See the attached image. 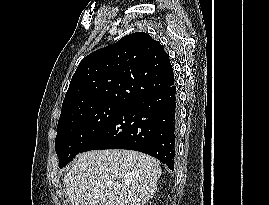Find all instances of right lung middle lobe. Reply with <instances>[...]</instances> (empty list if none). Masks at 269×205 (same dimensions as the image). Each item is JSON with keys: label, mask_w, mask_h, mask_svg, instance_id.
Returning <instances> with one entry per match:
<instances>
[{"label": "right lung middle lobe", "mask_w": 269, "mask_h": 205, "mask_svg": "<svg viewBox=\"0 0 269 205\" xmlns=\"http://www.w3.org/2000/svg\"><path fill=\"white\" fill-rule=\"evenodd\" d=\"M128 104L103 102L78 109L58 121L55 150L66 166Z\"/></svg>", "instance_id": "obj_1"}]
</instances>
